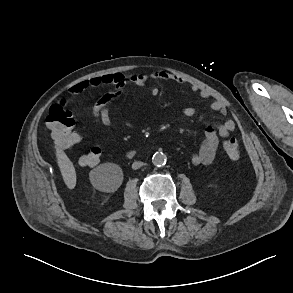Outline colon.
Listing matches in <instances>:
<instances>
[{"instance_id":"1","label":"colon","mask_w":293,"mask_h":293,"mask_svg":"<svg viewBox=\"0 0 293 293\" xmlns=\"http://www.w3.org/2000/svg\"><path fill=\"white\" fill-rule=\"evenodd\" d=\"M74 125L73 115L66 108L65 103H57L50 107L46 116V126L57 146L70 147L79 142L80 138L74 129ZM223 149L231 160L239 158V144L235 138L225 140ZM100 156L101 149L93 147L80 158V164L86 167H94L99 163Z\"/></svg>"}]
</instances>
